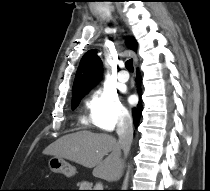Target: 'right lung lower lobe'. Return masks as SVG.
Instances as JSON below:
<instances>
[{"instance_id":"98d812e1","label":"right lung lower lobe","mask_w":210,"mask_h":191,"mask_svg":"<svg viewBox=\"0 0 210 191\" xmlns=\"http://www.w3.org/2000/svg\"><path fill=\"white\" fill-rule=\"evenodd\" d=\"M136 82H137V84L139 86V89H140L141 78H140L139 75H137ZM141 108H142V105L139 102L137 107L133 109V120H134L135 126L138 125V123H139V118H140V115H141Z\"/></svg>"}]
</instances>
